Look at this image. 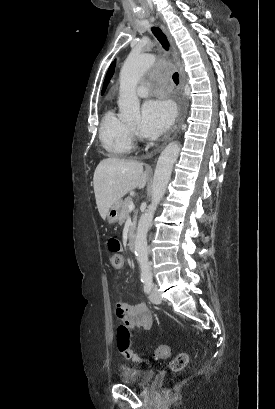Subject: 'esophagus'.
Here are the masks:
<instances>
[{
	"label": "esophagus",
	"mask_w": 275,
	"mask_h": 409,
	"mask_svg": "<svg viewBox=\"0 0 275 409\" xmlns=\"http://www.w3.org/2000/svg\"><path fill=\"white\" fill-rule=\"evenodd\" d=\"M161 28H162L163 32L165 33L167 39L169 40L171 46H172L173 56H174V58H175L176 61H177L178 71H179V89H180V92L183 94L186 79H185V75H184L183 70H182V67H181V63H180V59H179V56H178V52H177V50H176V48H175V46H174V42H173V39H172V37H171L169 31H168V30L166 29V27L163 26V25H161ZM175 129H176V126H174V130H175ZM168 140H169V138H168ZM163 145H164V144H163Z\"/></svg>",
	"instance_id": "34e87169"
}]
</instances>
